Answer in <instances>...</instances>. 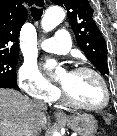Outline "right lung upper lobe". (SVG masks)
I'll use <instances>...</instances> for the list:
<instances>
[{
  "mask_svg": "<svg viewBox=\"0 0 117 136\" xmlns=\"http://www.w3.org/2000/svg\"><path fill=\"white\" fill-rule=\"evenodd\" d=\"M34 0H0V57H19L18 35L28 12L23 2Z\"/></svg>",
  "mask_w": 117,
  "mask_h": 136,
  "instance_id": "obj_1",
  "label": "right lung upper lobe"
}]
</instances>
